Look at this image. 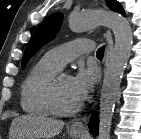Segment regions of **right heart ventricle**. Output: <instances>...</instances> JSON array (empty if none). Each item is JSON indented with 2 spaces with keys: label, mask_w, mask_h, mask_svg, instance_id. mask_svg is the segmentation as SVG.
Instances as JSON below:
<instances>
[{
  "label": "right heart ventricle",
  "mask_w": 141,
  "mask_h": 139,
  "mask_svg": "<svg viewBox=\"0 0 141 139\" xmlns=\"http://www.w3.org/2000/svg\"><path fill=\"white\" fill-rule=\"evenodd\" d=\"M59 70V67L45 57L31 68L20 90V104L24 112L38 117L52 114L46 98V89L51 78Z\"/></svg>",
  "instance_id": "obj_1"
}]
</instances>
